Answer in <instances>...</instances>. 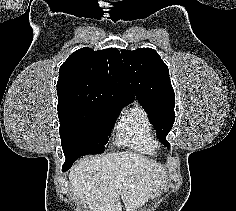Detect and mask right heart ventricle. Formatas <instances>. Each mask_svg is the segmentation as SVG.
<instances>
[{
    "mask_svg": "<svg viewBox=\"0 0 236 211\" xmlns=\"http://www.w3.org/2000/svg\"><path fill=\"white\" fill-rule=\"evenodd\" d=\"M115 143L142 155L155 156L158 141L140 105H133L123 115L116 129Z\"/></svg>",
    "mask_w": 236,
    "mask_h": 211,
    "instance_id": "e07e8e85",
    "label": "right heart ventricle"
}]
</instances>
